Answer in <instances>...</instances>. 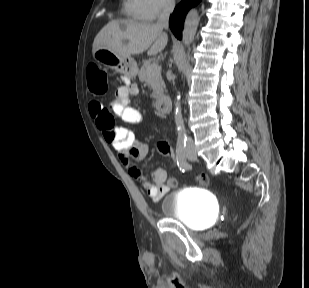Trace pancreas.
I'll list each match as a JSON object with an SVG mask.
<instances>
[{
  "instance_id": "pancreas-1",
  "label": "pancreas",
  "mask_w": 309,
  "mask_h": 288,
  "mask_svg": "<svg viewBox=\"0 0 309 288\" xmlns=\"http://www.w3.org/2000/svg\"><path fill=\"white\" fill-rule=\"evenodd\" d=\"M152 65H154V63H152L151 60H144L138 72V77L141 82H146L148 79H150L152 87L151 97L153 99H158L163 95L165 84L161 77V70H158L154 73H149V68Z\"/></svg>"
}]
</instances>
